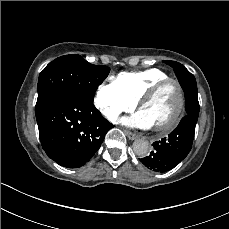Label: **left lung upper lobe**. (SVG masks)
<instances>
[{
    "instance_id": "obj_1",
    "label": "left lung upper lobe",
    "mask_w": 229,
    "mask_h": 229,
    "mask_svg": "<svg viewBox=\"0 0 229 229\" xmlns=\"http://www.w3.org/2000/svg\"><path fill=\"white\" fill-rule=\"evenodd\" d=\"M167 65H170L180 82V85L183 89L188 87H194L196 86V80L195 77L180 63L175 61H163Z\"/></svg>"
}]
</instances>
